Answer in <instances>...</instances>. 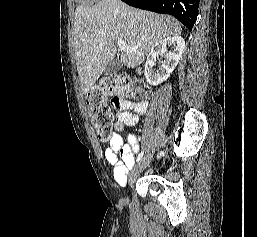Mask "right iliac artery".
I'll return each mask as SVG.
<instances>
[{"label":"right iliac artery","mask_w":257,"mask_h":237,"mask_svg":"<svg viewBox=\"0 0 257 237\" xmlns=\"http://www.w3.org/2000/svg\"><path fill=\"white\" fill-rule=\"evenodd\" d=\"M143 155H144V151H142V152L138 155V157H137V162L141 160V158L143 157Z\"/></svg>","instance_id":"82829eb1"}]
</instances>
